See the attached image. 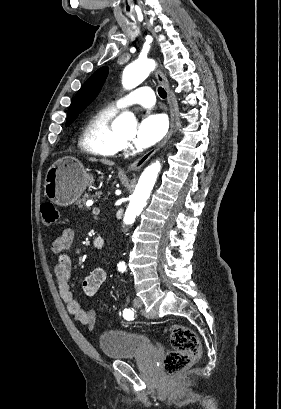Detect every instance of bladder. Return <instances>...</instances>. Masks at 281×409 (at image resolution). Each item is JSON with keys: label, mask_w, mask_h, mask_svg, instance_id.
<instances>
[{"label": "bladder", "mask_w": 281, "mask_h": 409, "mask_svg": "<svg viewBox=\"0 0 281 409\" xmlns=\"http://www.w3.org/2000/svg\"><path fill=\"white\" fill-rule=\"evenodd\" d=\"M96 345L100 352L111 361L132 360V355H157V345L143 333L124 329H106L98 333Z\"/></svg>", "instance_id": "bladder-1"}]
</instances>
